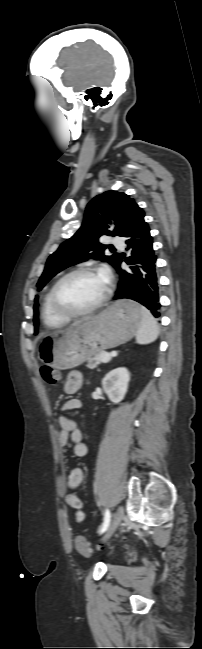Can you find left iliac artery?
I'll use <instances>...</instances> for the list:
<instances>
[{
  "instance_id": "44dca946",
  "label": "left iliac artery",
  "mask_w": 202,
  "mask_h": 649,
  "mask_svg": "<svg viewBox=\"0 0 202 649\" xmlns=\"http://www.w3.org/2000/svg\"><path fill=\"white\" fill-rule=\"evenodd\" d=\"M110 519H111L110 511L108 509H106L105 514H104V521H103L102 527L99 530L100 534L104 533L107 530V528H108V526L110 524Z\"/></svg>"
}]
</instances>
